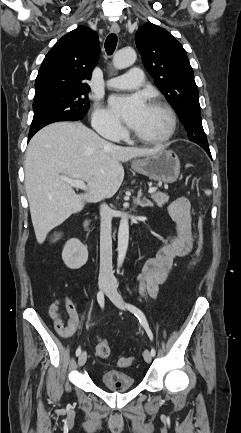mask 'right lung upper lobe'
<instances>
[{"instance_id": "obj_1", "label": "right lung upper lobe", "mask_w": 241, "mask_h": 433, "mask_svg": "<svg viewBox=\"0 0 241 433\" xmlns=\"http://www.w3.org/2000/svg\"><path fill=\"white\" fill-rule=\"evenodd\" d=\"M100 54L96 32L78 26L63 36L45 56L35 81V97L52 93H87Z\"/></svg>"}]
</instances>
